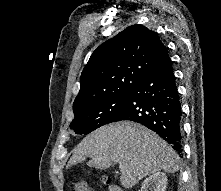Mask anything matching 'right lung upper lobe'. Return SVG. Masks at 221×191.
<instances>
[{
    "mask_svg": "<svg viewBox=\"0 0 221 191\" xmlns=\"http://www.w3.org/2000/svg\"><path fill=\"white\" fill-rule=\"evenodd\" d=\"M167 57V49L155 32L142 25L129 26L91 55L80 77L73 111L132 91Z\"/></svg>",
    "mask_w": 221,
    "mask_h": 191,
    "instance_id": "1",
    "label": "right lung upper lobe"
}]
</instances>
